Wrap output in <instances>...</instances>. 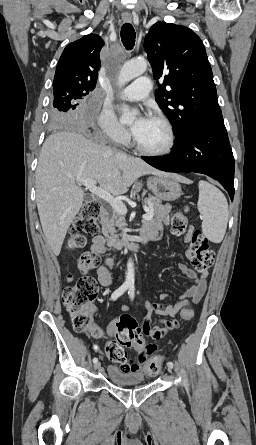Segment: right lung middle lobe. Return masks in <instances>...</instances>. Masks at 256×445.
I'll return each instance as SVG.
<instances>
[{
	"instance_id": "dd1d6c3e",
	"label": "right lung middle lobe",
	"mask_w": 256,
	"mask_h": 445,
	"mask_svg": "<svg viewBox=\"0 0 256 445\" xmlns=\"http://www.w3.org/2000/svg\"><path fill=\"white\" fill-rule=\"evenodd\" d=\"M83 96L72 91L54 94L53 107L50 111L51 122L55 125L73 122L75 118L73 111L78 105L77 101Z\"/></svg>"
}]
</instances>
